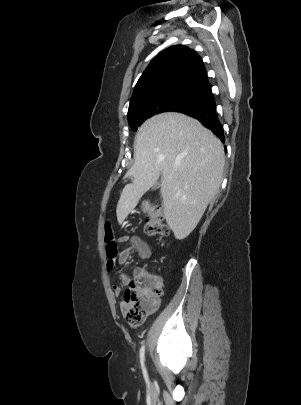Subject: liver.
Returning <instances> with one entry per match:
<instances>
[{
    "instance_id": "6515ba94",
    "label": "liver",
    "mask_w": 301,
    "mask_h": 405,
    "mask_svg": "<svg viewBox=\"0 0 301 405\" xmlns=\"http://www.w3.org/2000/svg\"><path fill=\"white\" fill-rule=\"evenodd\" d=\"M222 143L189 116L168 112L155 115L139 128L135 162L117 204L121 224L161 175L164 217L176 239L197 226L223 180Z\"/></svg>"
}]
</instances>
